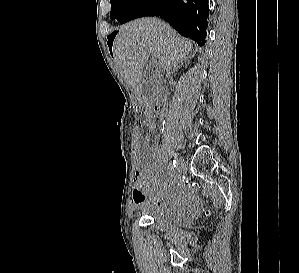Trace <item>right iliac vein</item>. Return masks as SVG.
I'll return each instance as SVG.
<instances>
[{
    "mask_svg": "<svg viewBox=\"0 0 299 273\" xmlns=\"http://www.w3.org/2000/svg\"><path fill=\"white\" fill-rule=\"evenodd\" d=\"M175 160H176L177 171L180 173L183 170L184 161L182 157L179 156L178 154L175 155Z\"/></svg>",
    "mask_w": 299,
    "mask_h": 273,
    "instance_id": "63e3f726",
    "label": "right iliac vein"
}]
</instances>
